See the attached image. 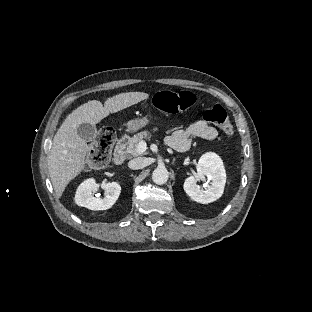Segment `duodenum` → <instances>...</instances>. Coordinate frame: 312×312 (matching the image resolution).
Returning a JSON list of instances; mask_svg holds the SVG:
<instances>
[{"label":"duodenum","mask_w":312,"mask_h":312,"mask_svg":"<svg viewBox=\"0 0 312 312\" xmlns=\"http://www.w3.org/2000/svg\"><path fill=\"white\" fill-rule=\"evenodd\" d=\"M127 136L120 137L115 145L113 151V161L117 166H121L124 164L126 159V145H127Z\"/></svg>","instance_id":"duodenum-1"}]
</instances>
